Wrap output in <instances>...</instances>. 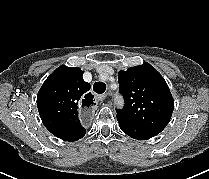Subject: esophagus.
Segmentation results:
<instances>
[{
	"label": "esophagus",
	"mask_w": 209,
	"mask_h": 179,
	"mask_svg": "<svg viewBox=\"0 0 209 179\" xmlns=\"http://www.w3.org/2000/svg\"><path fill=\"white\" fill-rule=\"evenodd\" d=\"M110 93H105L100 96L93 97L92 94H85L83 99L80 100L78 108L80 110L81 124L83 127L88 128L92 124V116L95 113L93 107L96 106L97 101L104 100Z\"/></svg>",
	"instance_id": "obj_1"
}]
</instances>
